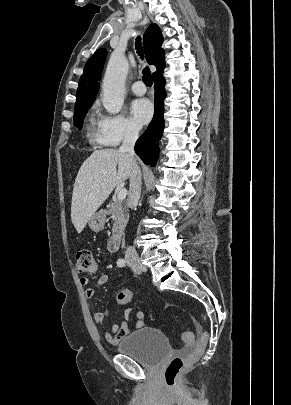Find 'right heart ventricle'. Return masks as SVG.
<instances>
[{
  "mask_svg": "<svg viewBox=\"0 0 291 405\" xmlns=\"http://www.w3.org/2000/svg\"><path fill=\"white\" fill-rule=\"evenodd\" d=\"M90 136L93 137V138H95V140L97 141L96 135H94V134L91 133Z\"/></svg>",
  "mask_w": 291,
  "mask_h": 405,
  "instance_id": "e07e8e85",
  "label": "right heart ventricle"
}]
</instances>
